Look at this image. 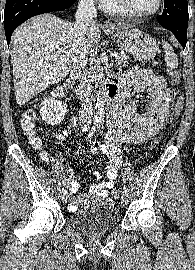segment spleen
<instances>
[{"mask_svg": "<svg viewBox=\"0 0 195 270\" xmlns=\"http://www.w3.org/2000/svg\"><path fill=\"white\" fill-rule=\"evenodd\" d=\"M162 47L165 52V62L167 67H170L171 69H175L178 66V57L175 54L173 48L170 46L169 43L163 42Z\"/></svg>", "mask_w": 195, "mask_h": 270, "instance_id": "3e777b00", "label": "spleen"}]
</instances>
